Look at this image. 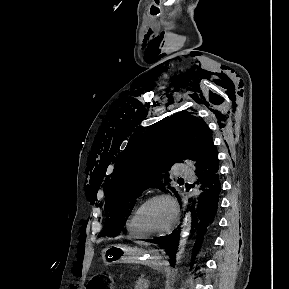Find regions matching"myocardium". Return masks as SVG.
Here are the masks:
<instances>
[{
	"label": "myocardium",
	"mask_w": 289,
	"mask_h": 289,
	"mask_svg": "<svg viewBox=\"0 0 289 289\" xmlns=\"http://www.w3.org/2000/svg\"><path fill=\"white\" fill-rule=\"evenodd\" d=\"M166 200L170 203L172 210H173V219L170 223V225L165 228L164 230L161 231H146L144 230L141 225H140V214L142 212V210L152 201L154 200ZM179 218V209L177 206L176 201L168 194L166 193H155L150 195L149 197H147L135 210L134 213V224L137 228V230L143 234L145 237H159V236H164L169 234L173 228L175 227V225L177 224Z\"/></svg>",
	"instance_id": "obj_1"
}]
</instances>
